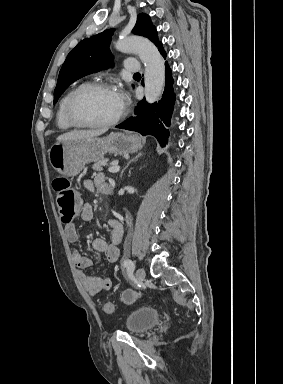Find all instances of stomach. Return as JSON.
<instances>
[{
  "label": "stomach",
  "instance_id": "0dacf381",
  "mask_svg": "<svg viewBox=\"0 0 283 384\" xmlns=\"http://www.w3.org/2000/svg\"><path fill=\"white\" fill-rule=\"evenodd\" d=\"M137 134H109L106 138H84L57 142L49 150V162L59 174L77 176L88 162H100L105 154H133L141 150Z\"/></svg>",
  "mask_w": 283,
  "mask_h": 384
}]
</instances>
